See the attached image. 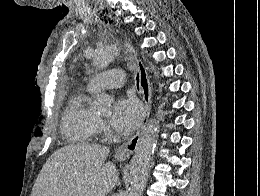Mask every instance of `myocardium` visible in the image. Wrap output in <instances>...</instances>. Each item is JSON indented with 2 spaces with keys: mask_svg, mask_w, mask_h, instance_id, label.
<instances>
[{
  "mask_svg": "<svg viewBox=\"0 0 260 196\" xmlns=\"http://www.w3.org/2000/svg\"><path fill=\"white\" fill-rule=\"evenodd\" d=\"M97 117V116H96ZM98 121L103 122V119L100 117H97Z\"/></svg>",
  "mask_w": 260,
  "mask_h": 196,
  "instance_id": "f54148a6",
  "label": "myocardium"
}]
</instances>
